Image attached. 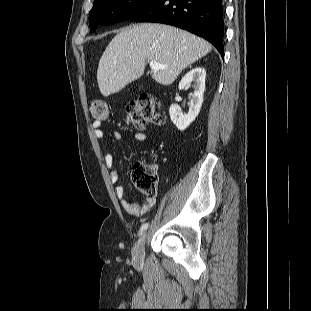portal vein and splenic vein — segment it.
<instances>
[{"label":"portal vein and splenic vein","instance_id":"1","mask_svg":"<svg viewBox=\"0 0 311 311\" xmlns=\"http://www.w3.org/2000/svg\"><path fill=\"white\" fill-rule=\"evenodd\" d=\"M150 68L153 70V71H157V70H160V69H165L167 68L166 66H163V65H160L159 63L155 62V61H151L150 62Z\"/></svg>","mask_w":311,"mask_h":311}]
</instances>
